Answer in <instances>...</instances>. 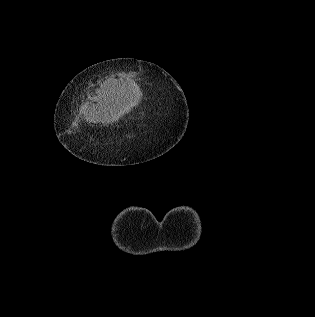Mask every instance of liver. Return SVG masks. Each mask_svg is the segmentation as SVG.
<instances>
[{"label":"liver","mask_w":315,"mask_h":317,"mask_svg":"<svg viewBox=\"0 0 315 317\" xmlns=\"http://www.w3.org/2000/svg\"><path fill=\"white\" fill-rule=\"evenodd\" d=\"M125 90L117 89L116 92L101 95L97 98L98 104L89 112L90 122L108 125L118 121L128 113L133 106L131 98L125 95Z\"/></svg>","instance_id":"6515ba94"}]
</instances>
